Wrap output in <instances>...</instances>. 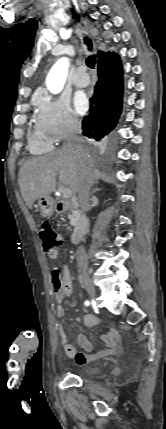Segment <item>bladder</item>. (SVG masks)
<instances>
[{"mask_svg":"<svg viewBox=\"0 0 166 429\" xmlns=\"http://www.w3.org/2000/svg\"><path fill=\"white\" fill-rule=\"evenodd\" d=\"M102 370L103 368L101 366L84 368L78 373V375L80 377L95 376L98 375Z\"/></svg>","mask_w":166,"mask_h":429,"instance_id":"1","label":"bladder"}]
</instances>
